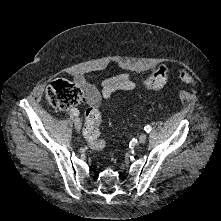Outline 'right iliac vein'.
<instances>
[{"label":"right iliac vein","instance_id":"1","mask_svg":"<svg viewBox=\"0 0 221 221\" xmlns=\"http://www.w3.org/2000/svg\"><path fill=\"white\" fill-rule=\"evenodd\" d=\"M74 125H75L76 130L80 131V129H81V120H80L79 117H76L74 119Z\"/></svg>","mask_w":221,"mask_h":221}]
</instances>
